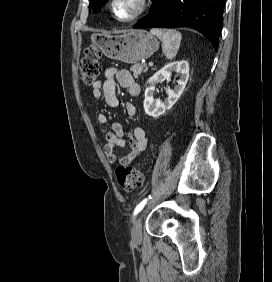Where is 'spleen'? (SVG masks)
<instances>
[{"label": "spleen", "instance_id": "obj_1", "mask_svg": "<svg viewBox=\"0 0 272 282\" xmlns=\"http://www.w3.org/2000/svg\"><path fill=\"white\" fill-rule=\"evenodd\" d=\"M150 34L162 41V50L167 59H173L180 47L182 35L174 29L152 28Z\"/></svg>", "mask_w": 272, "mask_h": 282}]
</instances>
